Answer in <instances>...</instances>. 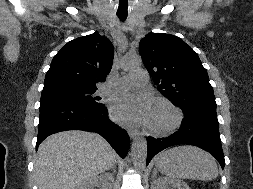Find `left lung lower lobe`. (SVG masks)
I'll return each mask as SVG.
<instances>
[{"instance_id": "left-lung-lower-lobe-1", "label": "left lung lower lobe", "mask_w": 253, "mask_h": 189, "mask_svg": "<svg viewBox=\"0 0 253 189\" xmlns=\"http://www.w3.org/2000/svg\"><path fill=\"white\" fill-rule=\"evenodd\" d=\"M217 118L203 115H185L180 129L167 138L148 137L147 165L160 151L167 147L188 144L208 151L221 165L225 166L224 154L220 143Z\"/></svg>"}]
</instances>
